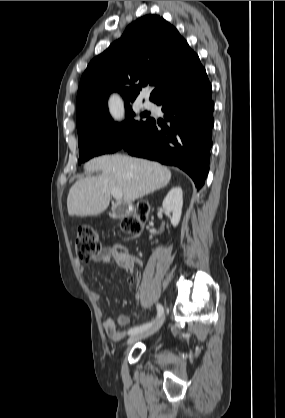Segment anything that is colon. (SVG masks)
Here are the masks:
<instances>
[{
    "label": "colon",
    "instance_id": "obj_1",
    "mask_svg": "<svg viewBox=\"0 0 285 418\" xmlns=\"http://www.w3.org/2000/svg\"><path fill=\"white\" fill-rule=\"evenodd\" d=\"M148 205L146 203L138 204L131 216L120 220V226L123 232L127 234L139 233L142 230V223L146 221L148 215ZM99 234L91 227H81L74 239L76 258L78 261L87 263L99 250ZM133 266H139L138 262H130Z\"/></svg>",
    "mask_w": 285,
    "mask_h": 418
}]
</instances>
